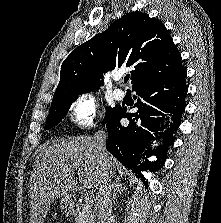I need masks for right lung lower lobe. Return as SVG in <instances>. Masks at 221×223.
I'll use <instances>...</instances> for the list:
<instances>
[{"label":"right lung lower lobe","instance_id":"1","mask_svg":"<svg viewBox=\"0 0 221 223\" xmlns=\"http://www.w3.org/2000/svg\"><path fill=\"white\" fill-rule=\"evenodd\" d=\"M186 70L182 66L173 74L161 79L140 82L132 89L140 97L134 107L136 113H126V108L117 111L105 122L108 130L106 147L125 167L132 170L136 176L149 168L156 171L159 168V158L162 165L166 160L167 146L173 144V131L180 125L182 114L186 106ZM136 99V98H135ZM121 118H127L128 126L120 124ZM168 120V127L164 133L162 148L159 151H145L148 143L162 130L160 124ZM147 157L157 153V161L149 162ZM162 154H164L162 156Z\"/></svg>","mask_w":221,"mask_h":223}]
</instances>
